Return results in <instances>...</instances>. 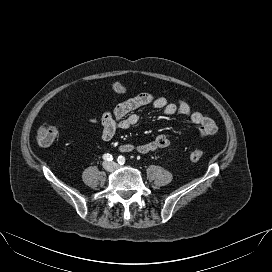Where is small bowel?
<instances>
[{
  "label": "small bowel",
  "instance_id": "obj_1",
  "mask_svg": "<svg viewBox=\"0 0 272 272\" xmlns=\"http://www.w3.org/2000/svg\"><path fill=\"white\" fill-rule=\"evenodd\" d=\"M145 106L161 109L167 116L179 114L189 118L192 123L198 126L193 133L196 138L210 136L217 132V125L214 120L200 111L193 110L187 102L183 100L172 101L150 93H140L121 102L112 111H107L102 115L100 121L102 126L101 138L104 141H110L118 130H128L134 127L139 121V116L135 111ZM90 122L98 124V121L94 118H91ZM171 140L169 135L159 134L149 142L136 145L134 150L140 154L166 150L170 147Z\"/></svg>",
  "mask_w": 272,
  "mask_h": 272
}]
</instances>
